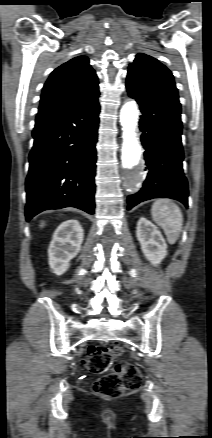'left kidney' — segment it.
Listing matches in <instances>:
<instances>
[{
	"mask_svg": "<svg viewBox=\"0 0 212 438\" xmlns=\"http://www.w3.org/2000/svg\"><path fill=\"white\" fill-rule=\"evenodd\" d=\"M136 236L145 257L153 264H160L167 255V244L157 227L144 217L137 223Z\"/></svg>",
	"mask_w": 212,
	"mask_h": 438,
	"instance_id": "left-kidney-1",
	"label": "left kidney"
}]
</instances>
